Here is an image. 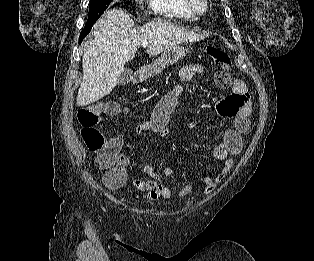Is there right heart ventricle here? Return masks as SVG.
<instances>
[{
  "label": "right heart ventricle",
  "instance_id": "1",
  "mask_svg": "<svg viewBox=\"0 0 314 261\" xmlns=\"http://www.w3.org/2000/svg\"><path fill=\"white\" fill-rule=\"evenodd\" d=\"M150 11L160 17L177 19V20H193L197 17L190 11L184 0H147Z\"/></svg>",
  "mask_w": 314,
  "mask_h": 261
}]
</instances>
